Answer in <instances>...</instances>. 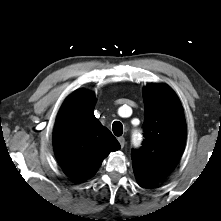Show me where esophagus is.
I'll list each match as a JSON object with an SVG mask.
<instances>
[{
  "label": "esophagus",
  "instance_id": "esophagus-1",
  "mask_svg": "<svg viewBox=\"0 0 221 221\" xmlns=\"http://www.w3.org/2000/svg\"><path fill=\"white\" fill-rule=\"evenodd\" d=\"M118 141H119V143H120L121 148H123L124 145H125V138H124V137H119V138H118Z\"/></svg>",
  "mask_w": 221,
  "mask_h": 221
}]
</instances>
